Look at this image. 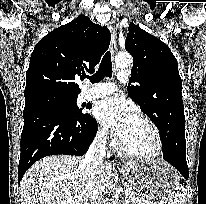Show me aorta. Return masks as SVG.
<instances>
[{"label": "aorta", "instance_id": "762f6f07", "mask_svg": "<svg viewBox=\"0 0 206 204\" xmlns=\"http://www.w3.org/2000/svg\"><path fill=\"white\" fill-rule=\"evenodd\" d=\"M115 64L120 68L129 67L132 64V57L128 53H118L115 57Z\"/></svg>", "mask_w": 206, "mask_h": 204}]
</instances>
